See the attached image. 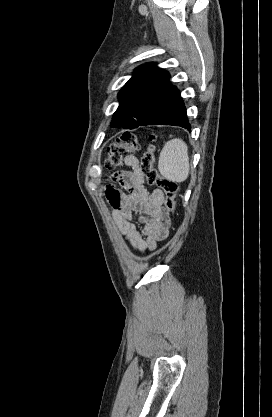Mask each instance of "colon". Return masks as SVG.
I'll return each instance as SVG.
<instances>
[{
	"label": "colon",
	"instance_id": "1",
	"mask_svg": "<svg viewBox=\"0 0 272 417\" xmlns=\"http://www.w3.org/2000/svg\"><path fill=\"white\" fill-rule=\"evenodd\" d=\"M151 144L142 156L140 170L145 180L150 185H157L164 193V206L169 213H174L176 207V195L178 192V184L164 176H162L155 167L154 142L156 136L150 137ZM139 150L138 138L135 134L125 132L121 134L115 143H113L107 152L105 167L113 170L119 167L122 162L132 153Z\"/></svg>",
	"mask_w": 272,
	"mask_h": 417
}]
</instances>
